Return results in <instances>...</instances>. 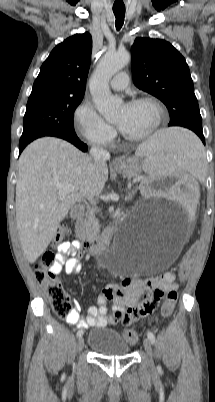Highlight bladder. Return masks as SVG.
<instances>
[{
    "instance_id": "31cf9c89",
    "label": "bladder",
    "mask_w": 215,
    "mask_h": 402,
    "mask_svg": "<svg viewBox=\"0 0 215 402\" xmlns=\"http://www.w3.org/2000/svg\"><path fill=\"white\" fill-rule=\"evenodd\" d=\"M87 344L91 351L106 357L126 356L130 352L129 343L111 328L93 329L89 333Z\"/></svg>"
}]
</instances>
